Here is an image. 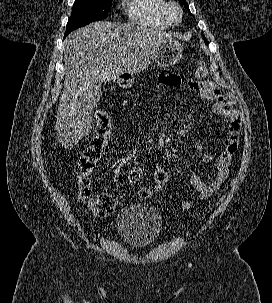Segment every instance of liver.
<instances>
[{
    "label": "liver",
    "instance_id": "6515ba94",
    "mask_svg": "<svg viewBox=\"0 0 272 303\" xmlns=\"http://www.w3.org/2000/svg\"><path fill=\"white\" fill-rule=\"evenodd\" d=\"M170 38L171 33L107 21L93 22L65 38V82L55 123L64 148L90 133L102 83L147 69L160 44Z\"/></svg>",
    "mask_w": 272,
    "mask_h": 303
}]
</instances>
